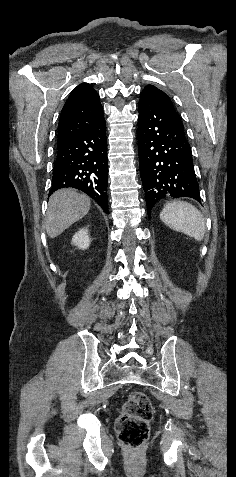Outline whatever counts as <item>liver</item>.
<instances>
[{
    "label": "liver",
    "mask_w": 236,
    "mask_h": 477,
    "mask_svg": "<svg viewBox=\"0 0 236 477\" xmlns=\"http://www.w3.org/2000/svg\"><path fill=\"white\" fill-rule=\"evenodd\" d=\"M90 210V199L73 189H62L49 199L46 213V232L55 238Z\"/></svg>",
    "instance_id": "6515ba94"
}]
</instances>
